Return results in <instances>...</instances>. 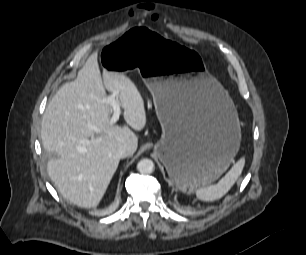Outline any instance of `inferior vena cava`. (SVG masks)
<instances>
[{
    "label": "inferior vena cava",
    "instance_id": "inferior-vena-cava-1",
    "mask_svg": "<svg viewBox=\"0 0 306 255\" xmlns=\"http://www.w3.org/2000/svg\"><path fill=\"white\" fill-rule=\"evenodd\" d=\"M132 153L133 148L128 144L121 145L116 152L118 158L120 159L130 156Z\"/></svg>",
    "mask_w": 306,
    "mask_h": 255
}]
</instances>
